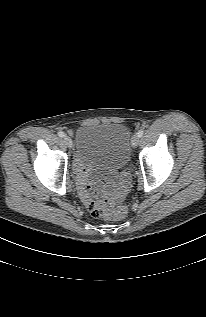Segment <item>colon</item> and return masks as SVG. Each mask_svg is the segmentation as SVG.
Wrapping results in <instances>:
<instances>
[{"label": "colon", "instance_id": "obj_1", "mask_svg": "<svg viewBox=\"0 0 206 317\" xmlns=\"http://www.w3.org/2000/svg\"><path fill=\"white\" fill-rule=\"evenodd\" d=\"M86 206L91 214L97 218L120 220L127 214L125 205H116L113 200L103 196L99 190L90 192V198Z\"/></svg>", "mask_w": 206, "mask_h": 317}]
</instances>
